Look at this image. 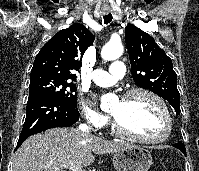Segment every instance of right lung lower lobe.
I'll list each match as a JSON object with an SVG mask.
<instances>
[{
    "instance_id": "right-lung-lower-lobe-1",
    "label": "right lung lower lobe",
    "mask_w": 199,
    "mask_h": 171,
    "mask_svg": "<svg viewBox=\"0 0 199 171\" xmlns=\"http://www.w3.org/2000/svg\"><path fill=\"white\" fill-rule=\"evenodd\" d=\"M78 119L79 112L76 108L50 93L36 92L29 95L26 119L16 149L33 134L50 128L68 127Z\"/></svg>"
}]
</instances>
